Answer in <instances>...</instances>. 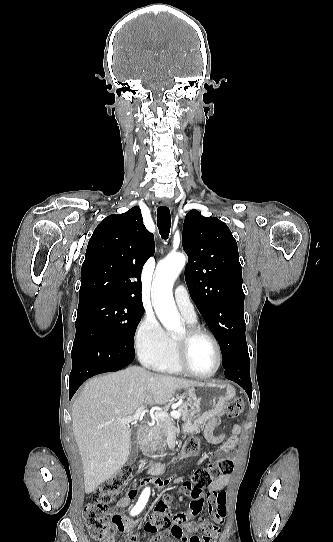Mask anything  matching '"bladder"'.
<instances>
[{"mask_svg": "<svg viewBox=\"0 0 333 542\" xmlns=\"http://www.w3.org/2000/svg\"><path fill=\"white\" fill-rule=\"evenodd\" d=\"M165 540L163 539H158L156 540L155 542H179L177 539H175L173 536L172 537H164Z\"/></svg>", "mask_w": 333, "mask_h": 542, "instance_id": "obj_1", "label": "bladder"}]
</instances>
